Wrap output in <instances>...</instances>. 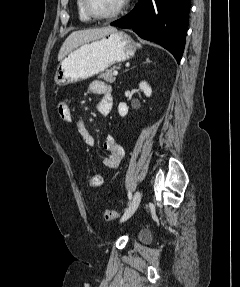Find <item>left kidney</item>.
I'll return each mask as SVG.
<instances>
[{
  "label": "left kidney",
  "mask_w": 240,
  "mask_h": 287,
  "mask_svg": "<svg viewBox=\"0 0 240 287\" xmlns=\"http://www.w3.org/2000/svg\"><path fill=\"white\" fill-rule=\"evenodd\" d=\"M139 88L144 92V94L146 95V97H150L151 94H152V89L151 87L148 85L147 82L145 81H142L140 82L139 84ZM118 112H119V115L124 117L127 115L128 113V107L125 103H120L118 105Z\"/></svg>",
  "instance_id": "1"
}]
</instances>
